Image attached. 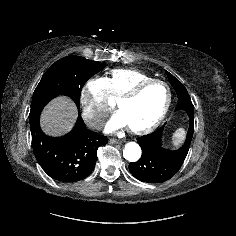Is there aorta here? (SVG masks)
I'll return each mask as SVG.
<instances>
[{
    "instance_id": "obj_1",
    "label": "aorta",
    "mask_w": 236,
    "mask_h": 236,
    "mask_svg": "<svg viewBox=\"0 0 236 236\" xmlns=\"http://www.w3.org/2000/svg\"><path fill=\"white\" fill-rule=\"evenodd\" d=\"M123 156L129 162H136L141 157V148L136 142H128L123 150Z\"/></svg>"
}]
</instances>
